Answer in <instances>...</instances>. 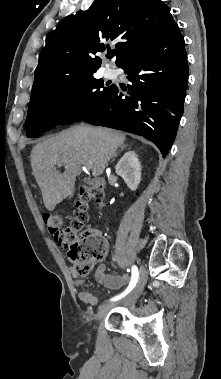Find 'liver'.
<instances>
[{"label":"liver","instance_id":"liver-1","mask_svg":"<svg viewBox=\"0 0 221 379\" xmlns=\"http://www.w3.org/2000/svg\"><path fill=\"white\" fill-rule=\"evenodd\" d=\"M124 141L125 134L116 130L75 126L36 144L31 167L46 209L54 210L72 192L82 164L92 162L93 176H100Z\"/></svg>","mask_w":221,"mask_h":379}]
</instances>
